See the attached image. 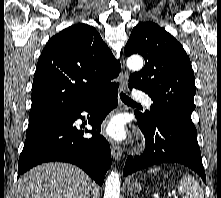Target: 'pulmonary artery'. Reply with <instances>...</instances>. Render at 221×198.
<instances>
[{"label": "pulmonary artery", "instance_id": "1", "mask_svg": "<svg viewBox=\"0 0 221 198\" xmlns=\"http://www.w3.org/2000/svg\"><path fill=\"white\" fill-rule=\"evenodd\" d=\"M133 96L135 99L144 102L148 107H150L153 104V101L145 92L135 90L133 92Z\"/></svg>", "mask_w": 221, "mask_h": 198}]
</instances>
